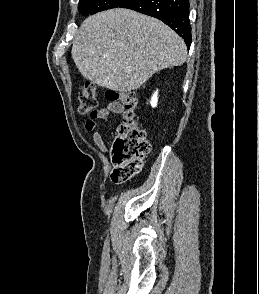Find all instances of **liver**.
I'll use <instances>...</instances> for the list:
<instances>
[{
	"mask_svg": "<svg viewBox=\"0 0 259 294\" xmlns=\"http://www.w3.org/2000/svg\"><path fill=\"white\" fill-rule=\"evenodd\" d=\"M71 53L87 80L110 90L130 92L154 73L182 65L187 47L160 20L116 8L85 19Z\"/></svg>",
	"mask_w": 259,
	"mask_h": 294,
	"instance_id": "obj_1",
	"label": "liver"
}]
</instances>
